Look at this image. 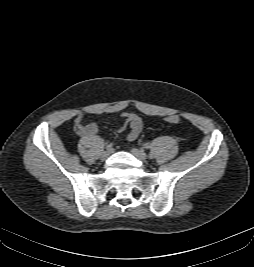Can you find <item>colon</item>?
<instances>
[{
    "instance_id": "colon-1",
    "label": "colon",
    "mask_w": 254,
    "mask_h": 267,
    "mask_svg": "<svg viewBox=\"0 0 254 267\" xmlns=\"http://www.w3.org/2000/svg\"><path fill=\"white\" fill-rule=\"evenodd\" d=\"M166 122L168 123H177L179 121V117L177 115H168L165 118Z\"/></svg>"
}]
</instances>
